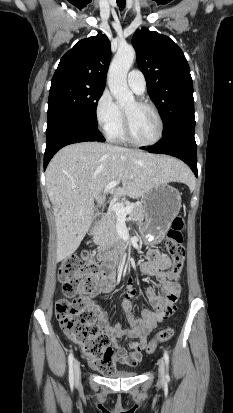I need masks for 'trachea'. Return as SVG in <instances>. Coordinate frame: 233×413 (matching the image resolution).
Returning <instances> with one entry per match:
<instances>
[{
  "instance_id": "3493384b",
  "label": "trachea",
  "mask_w": 233,
  "mask_h": 413,
  "mask_svg": "<svg viewBox=\"0 0 233 413\" xmlns=\"http://www.w3.org/2000/svg\"><path fill=\"white\" fill-rule=\"evenodd\" d=\"M116 1H117V5H118L120 8H124V7H125L126 0H116Z\"/></svg>"
}]
</instances>
